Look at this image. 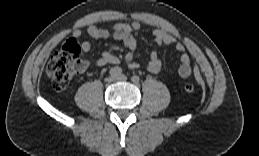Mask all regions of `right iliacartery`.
I'll list each match as a JSON object with an SVG mask.
<instances>
[{"label":"right iliac artery","instance_id":"right-iliac-artery-1","mask_svg":"<svg viewBox=\"0 0 259 156\" xmlns=\"http://www.w3.org/2000/svg\"><path fill=\"white\" fill-rule=\"evenodd\" d=\"M122 69L120 67H113L110 69L109 74L113 77H116L118 75H121Z\"/></svg>","mask_w":259,"mask_h":156}]
</instances>
